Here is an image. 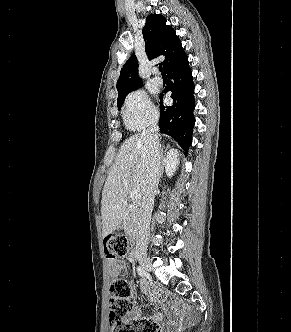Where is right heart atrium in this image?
Returning a JSON list of instances; mask_svg holds the SVG:
<instances>
[{
    "label": "right heart atrium",
    "instance_id": "obj_1",
    "mask_svg": "<svg viewBox=\"0 0 291 332\" xmlns=\"http://www.w3.org/2000/svg\"><path fill=\"white\" fill-rule=\"evenodd\" d=\"M123 117L128 128L142 130L157 121L158 112L144 91L135 90L125 99Z\"/></svg>",
    "mask_w": 291,
    "mask_h": 332
}]
</instances>
